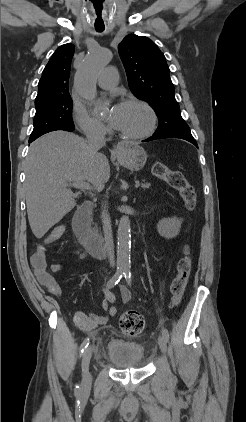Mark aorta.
<instances>
[{"instance_id": "aorta-1", "label": "aorta", "mask_w": 246, "mask_h": 422, "mask_svg": "<svg viewBox=\"0 0 246 422\" xmlns=\"http://www.w3.org/2000/svg\"><path fill=\"white\" fill-rule=\"evenodd\" d=\"M111 52L105 48H95L88 52L75 74V88L86 100L96 97V79L100 70L110 61ZM117 264L121 269L130 267L131 227L128 216H123L117 232Z\"/></svg>"}]
</instances>
